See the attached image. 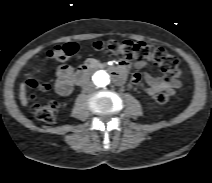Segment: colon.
I'll use <instances>...</instances> for the list:
<instances>
[{
	"label": "colon",
	"instance_id": "5ec220e1",
	"mask_svg": "<svg viewBox=\"0 0 212 183\" xmlns=\"http://www.w3.org/2000/svg\"><path fill=\"white\" fill-rule=\"evenodd\" d=\"M95 51L110 52L116 56L126 60L133 59H148L153 61L160 70L166 75L167 79H179L181 77V69L178 59L170 54L167 50L160 47L145 44L143 42L133 41H96L93 43ZM78 50L75 43H66L54 46L49 50L48 55L57 60H65L73 56ZM31 94V110L34 115L41 121L51 123L56 119L57 103L54 100L41 102L37 100L36 92H45L49 86L42 80L30 79L27 82ZM153 99L158 104H165L169 100V94L165 91H160L153 96Z\"/></svg>",
	"mask_w": 212,
	"mask_h": 183
}]
</instances>
